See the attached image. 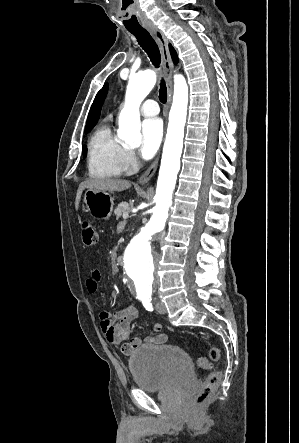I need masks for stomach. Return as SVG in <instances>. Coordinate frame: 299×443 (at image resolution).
Returning <instances> with one entry per match:
<instances>
[{
    "mask_svg": "<svg viewBox=\"0 0 299 443\" xmlns=\"http://www.w3.org/2000/svg\"><path fill=\"white\" fill-rule=\"evenodd\" d=\"M83 201L92 216L105 220L111 217L114 198L108 192L87 189Z\"/></svg>",
    "mask_w": 299,
    "mask_h": 443,
    "instance_id": "1",
    "label": "stomach"
}]
</instances>
